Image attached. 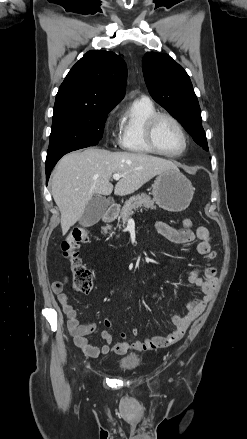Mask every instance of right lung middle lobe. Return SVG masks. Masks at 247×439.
Instances as JSON below:
<instances>
[{"label": "right lung middle lobe", "mask_w": 247, "mask_h": 439, "mask_svg": "<svg viewBox=\"0 0 247 439\" xmlns=\"http://www.w3.org/2000/svg\"><path fill=\"white\" fill-rule=\"evenodd\" d=\"M113 108L54 107L46 167L66 153L94 146L102 138L107 114Z\"/></svg>", "instance_id": "obj_1"}]
</instances>
